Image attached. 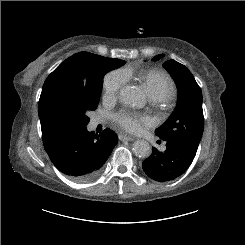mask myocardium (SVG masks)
I'll list each match as a JSON object with an SVG mask.
<instances>
[{
	"mask_svg": "<svg viewBox=\"0 0 245 245\" xmlns=\"http://www.w3.org/2000/svg\"><path fill=\"white\" fill-rule=\"evenodd\" d=\"M152 102L154 104H159L163 108H166V107L169 106L170 97L167 96V95H162V96H159V97H154V98H152Z\"/></svg>",
	"mask_w": 245,
	"mask_h": 245,
	"instance_id": "myocardium-1",
	"label": "myocardium"
}]
</instances>
